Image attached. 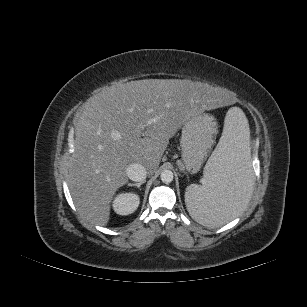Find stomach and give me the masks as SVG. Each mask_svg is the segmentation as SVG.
I'll return each mask as SVG.
<instances>
[{
  "label": "stomach",
  "instance_id": "0dacf381",
  "mask_svg": "<svg viewBox=\"0 0 307 307\" xmlns=\"http://www.w3.org/2000/svg\"><path fill=\"white\" fill-rule=\"evenodd\" d=\"M216 132V120L207 113L195 114L183 124L181 155L186 170L191 174L197 173L208 157Z\"/></svg>",
  "mask_w": 307,
  "mask_h": 307
}]
</instances>
